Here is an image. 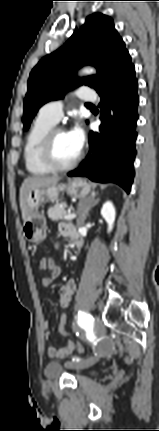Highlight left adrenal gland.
Segmentation results:
<instances>
[{
    "mask_svg": "<svg viewBox=\"0 0 159 431\" xmlns=\"http://www.w3.org/2000/svg\"><path fill=\"white\" fill-rule=\"evenodd\" d=\"M100 201L99 198L95 199V195L89 197L87 200H81L78 204V221L77 224L81 225L85 222L89 211L91 210L92 207H94L96 204H98V202Z\"/></svg>",
    "mask_w": 159,
    "mask_h": 431,
    "instance_id": "1",
    "label": "left adrenal gland"
}]
</instances>
